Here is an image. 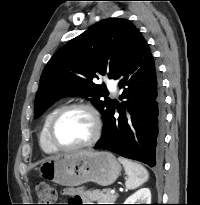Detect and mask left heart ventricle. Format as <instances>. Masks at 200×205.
Listing matches in <instances>:
<instances>
[{
  "instance_id": "1",
  "label": "left heart ventricle",
  "mask_w": 200,
  "mask_h": 205,
  "mask_svg": "<svg viewBox=\"0 0 200 205\" xmlns=\"http://www.w3.org/2000/svg\"><path fill=\"white\" fill-rule=\"evenodd\" d=\"M93 132V123L85 110L73 109L63 114L54 128L56 141L63 146H73L88 140Z\"/></svg>"
}]
</instances>
